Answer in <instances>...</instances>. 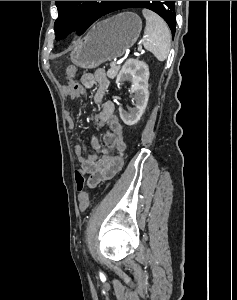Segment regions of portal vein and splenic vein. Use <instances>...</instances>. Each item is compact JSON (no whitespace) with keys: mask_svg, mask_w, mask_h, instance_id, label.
Returning <instances> with one entry per match:
<instances>
[{"mask_svg":"<svg viewBox=\"0 0 237 300\" xmlns=\"http://www.w3.org/2000/svg\"><path fill=\"white\" fill-rule=\"evenodd\" d=\"M111 63V68L113 69L115 66H117V63L116 62H114L113 60L110 62Z\"/></svg>","mask_w":237,"mask_h":300,"instance_id":"1","label":"portal vein and splenic vein"}]
</instances>
